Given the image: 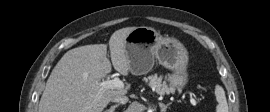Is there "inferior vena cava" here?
Returning a JSON list of instances; mask_svg holds the SVG:
<instances>
[{"mask_svg": "<svg viewBox=\"0 0 270 112\" xmlns=\"http://www.w3.org/2000/svg\"><path fill=\"white\" fill-rule=\"evenodd\" d=\"M111 101L115 103L126 104L129 99L127 96L124 95H116L112 97Z\"/></svg>", "mask_w": 270, "mask_h": 112, "instance_id": "obj_1", "label": "inferior vena cava"}]
</instances>
